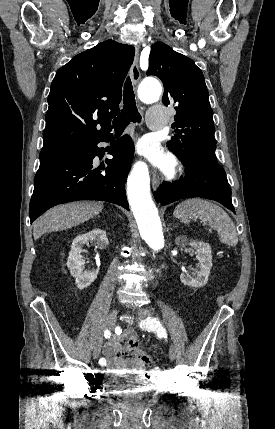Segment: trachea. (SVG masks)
Returning a JSON list of instances; mask_svg holds the SVG:
<instances>
[{
    "mask_svg": "<svg viewBox=\"0 0 275 429\" xmlns=\"http://www.w3.org/2000/svg\"><path fill=\"white\" fill-rule=\"evenodd\" d=\"M123 103L124 106L120 115L113 121L116 133L122 132L130 122L136 123L141 121V115L136 106L135 94L129 77L124 84Z\"/></svg>",
    "mask_w": 275,
    "mask_h": 429,
    "instance_id": "1",
    "label": "trachea"
}]
</instances>
